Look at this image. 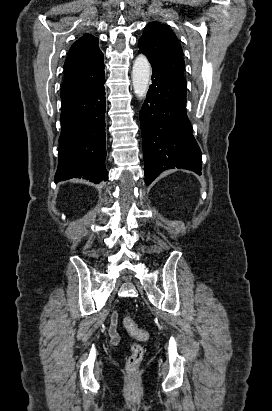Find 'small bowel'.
Masks as SVG:
<instances>
[{"instance_id": "c3829d8e", "label": "small bowel", "mask_w": 272, "mask_h": 411, "mask_svg": "<svg viewBox=\"0 0 272 411\" xmlns=\"http://www.w3.org/2000/svg\"><path fill=\"white\" fill-rule=\"evenodd\" d=\"M118 326V313L113 312L111 317H110V325H109V337H110V343L114 346L118 345L120 343V335L117 330Z\"/></svg>"}]
</instances>
